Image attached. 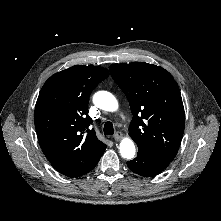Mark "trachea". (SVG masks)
<instances>
[{
	"mask_svg": "<svg viewBox=\"0 0 221 221\" xmlns=\"http://www.w3.org/2000/svg\"><path fill=\"white\" fill-rule=\"evenodd\" d=\"M104 135H113L114 134V128L113 124L110 121H107L103 128Z\"/></svg>",
	"mask_w": 221,
	"mask_h": 221,
	"instance_id": "3493384b",
	"label": "trachea"
}]
</instances>
